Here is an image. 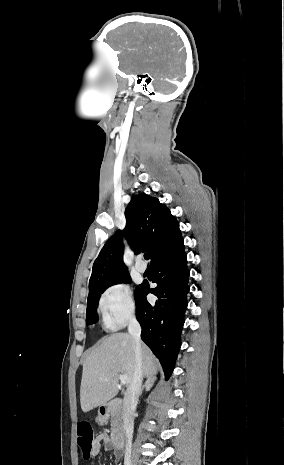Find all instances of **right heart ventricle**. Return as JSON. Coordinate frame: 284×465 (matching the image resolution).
<instances>
[{"label":"right heart ventricle","instance_id":"obj_1","mask_svg":"<svg viewBox=\"0 0 284 465\" xmlns=\"http://www.w3.org/2000/svg\"><path fill=\"white\" fill-rule=\"evenodd\" d=\"M103 323H104V326L108 327L109 326V322L104 318L103 320Z\"/></svg>","mask_w":284,"mask_h":465}]
</instances>
